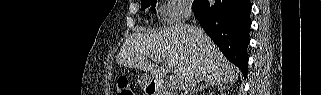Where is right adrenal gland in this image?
<instances>
[{
	"instance_id": "right-adrenal-gland-1",
	"label": "right adrenal gland",
	"mask_w": 321,
	"mask_h": 95,
	"mask_svg": "<svg viewBox=\"0 0 321 95\" xmlns=\"http://www.w3.org/2000/svg\"><path fill=\"white\" fill-rule=\"evenodd\" d=\"M209 87H217L218 90H221V91L226 89V86L224 84H220V83H216V82H206L205 85L200 86L199 88L194 90L191 94L197 93V92L204 90L206 88H209Z\"/></svg>"
}]
</instances>
